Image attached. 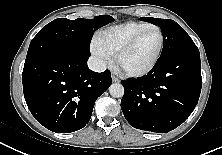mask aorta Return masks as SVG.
<instances>
[{
    "instance_id": "762f6f07",
    "label": "aorta",
    "mask_w": 222,
    "mask_h": 155,
    "mask_svg": "<svg viewBox=\"0 0 222 155\" xmlns=\"http://www.w3.org/2000/svg\"><path fill=\"white\" fill-rule=\"evenodd\" d=\"M109 93L114 98H120L124 95V87L119 83H113L109 87Z\"/></svg>"
}]
</instances>
